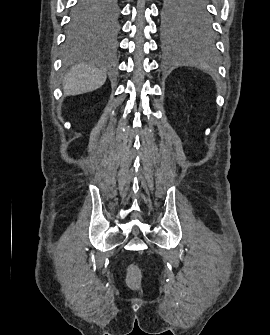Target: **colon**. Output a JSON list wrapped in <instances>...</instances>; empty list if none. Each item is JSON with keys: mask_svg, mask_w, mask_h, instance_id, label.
Wrapping results in <instances>:
<instances>
[{"mask_svg": "<svg viewBox=\"0 0 270 335\" xmlns=\"http://www.w3.org/2000/svg\"><path fill=\"white\" fill-rule=\"evenodd\" d=\"M126 284L132 290H139L141 286V272L137 265H130L126 276Z\"/></svg>", "mask_w": 270, "mask_h": 335, "instance_id": "5ec220e1", "label": "colon"}]
</instances>
